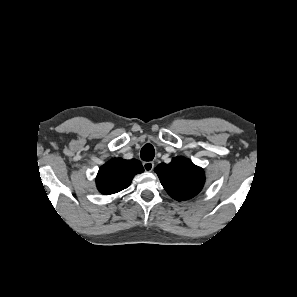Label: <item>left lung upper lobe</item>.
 Listing matches in <instances>:
<instances>
[{"mask_svg": "<svg viewBox=\"0 0 297 297\" xmlns=\"http://www.w3.org/2000/svg\"><path fill=\"white\" fill-rule=\"evenodd\" d=\"M155 172L167 193L178 201L197 195L205 182L203 169L185 157H175L169 164L161 163Z\"/></svg>", "mask_w": 297, "mask_h": 297, "instance_id": "5c2ea615", "label": "left lung upper lobe"}]
</instances>
